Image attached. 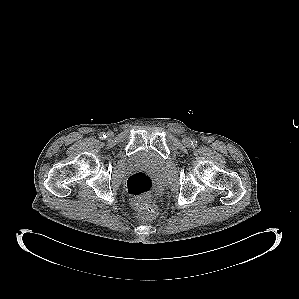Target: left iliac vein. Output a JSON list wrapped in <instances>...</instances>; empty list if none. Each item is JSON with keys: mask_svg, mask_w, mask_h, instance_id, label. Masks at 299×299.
I'll list each match as a JSON object with an SVG mask.
<instances>
[{"mask_svg": "<svg viewBox=\"0 0 299 299\" xmlns=\"http://www.w3.org/2000/svg\"><path fill=\"white\" fill-rule=\"evenodd\" d=\"M182 142L187 147L191 146V139L189 137H184Z\"/></svg>", "mask_w": 299, "mask_h": 299, "instance_id": "1", "label": "left iliac vein"}]
</instances>
